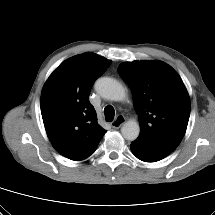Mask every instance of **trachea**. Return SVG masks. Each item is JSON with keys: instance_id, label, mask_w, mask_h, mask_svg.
Wrapping results in <instances>:
<instances>
[{"instance_id": "obj_1", "label": "trachea", "mask_w": 215, "mask_h": 215, "mask_svg": "<svg viewBox=\"0 0 215 215\" xmlns=\"http://www.w3.org/2000/svg\"><path fill=\"white\" fill-rule=\"evenodd\" d=\"M104 114H105V119H106V121H108V122H111V121H113V119H114V115H115V110H114V108L112 107V106H106L105 108H104Z\"/></svg>"}]
</instances>
